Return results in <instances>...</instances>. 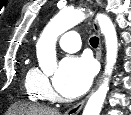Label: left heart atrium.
<instances>
[{
  "label": "left heart atrium",
  "mask_w": 131,
  "mask_h": 115,
  "mask_svg": "<svg viewBox=\"0 0 131 115\" xmlns=\"http://www.w3.org/2000/svg\"><path fill=\"white\" fill-rule=\"evenodd\" d=\"M94 76L93 64L85 57L67 56L54 77V86L63 96L73 98L83 94Z\"/></svg>",
  "instance_id": "1"
}]
</instances>
